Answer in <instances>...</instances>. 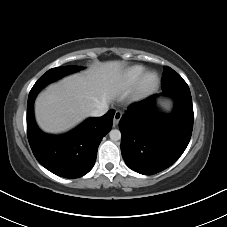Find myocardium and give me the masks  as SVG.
Segmentation results:
<instances>
[{
  "mask_svg": "<svg viewBox=\"0 0 227 227\" xmlns=\"http://www.w3.org/2000/svg\"><path fill=\"white\" fill-rule=\"evenodd\" d=\"M160 83V76L156 71H147L138 82L137 93L139 96L149 94L154 91Z\"/></svg>",
  "mask_w": 227,
  "mask_h": 227,
  "instance_id": "obj_1",
  "label": "myocardium"
}]
</instances>
